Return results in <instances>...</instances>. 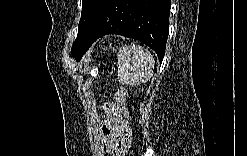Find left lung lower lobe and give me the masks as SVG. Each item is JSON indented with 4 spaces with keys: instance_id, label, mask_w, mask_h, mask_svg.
Instances as JSON below:
<instances>
[{
    "instance_id": "left-lung-lower-lobe-1",
    "label": "left lung lower lobe",
    "mask_w": 247,
    "mask_h": 156,
    "mask_svg": "<svg viewBox=\"0 0 247 156\" xmlns=\"http://www.w3.org/2000/svg\"><path fill=\"white\" fill-rule=\"evenodd\" d=\"M170 5V0H107L86 32L85 47L77 60L98 38L119 34L145 43L162 62L169 33Z\"/></svg>"
}]
</instances>
